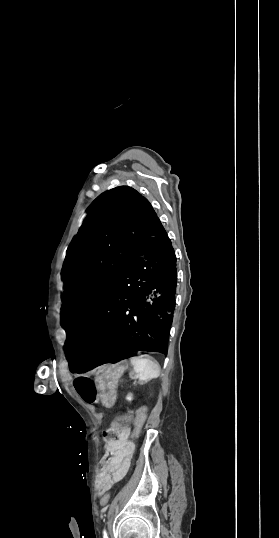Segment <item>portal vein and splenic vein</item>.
I'll use <instances>...</instances> for the list:
<instances>
[{
    "mask_svg": "<svg viewBox=\"0 0 279 538\" xmlns=\"http://www.w3.org/2000/svg\"><path fill=\"white\" fill-rule=\"evenodd\" d=\"M132 384H136V381H132Z\"/></svg>",
    "mask_w": 279,
    "mask_h": 538,
    "instance_id": "18ae733b",
    "label": "portal vein and splenic vein"
}]
</instances>
